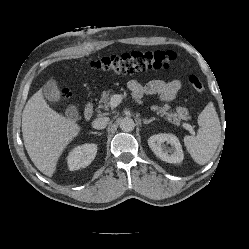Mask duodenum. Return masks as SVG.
Instances as JSON below:
<instances>
[{
  "label": "duodenum",
  "mask_w": 249,
  "mask_h": 249,
  "mask_svg": "<svg viewBox=\"0 0 249 249\" xmlns=\"http://www.w3.org/2000/svg\"><path fill=\"white\" fill-rule=\"evenodd\" d=\"M94 115V104L92 101L87 102L84 107L83 116L85 120H90Z\"/></svg>",
  "instance_id": "duodenum-1"
}]
</instances>
